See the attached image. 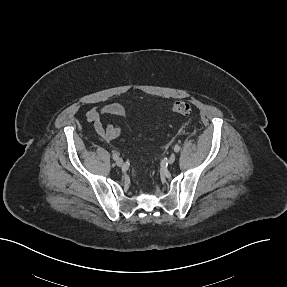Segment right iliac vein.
<instances>
[{
  "label": "right iliac vein",
  "instance_id": "63e3f726",
  "mask_svg": "<svg viewBox=\"0 0 287 287\" xmlns=\"http://www.w3.org/2000/svg\"><path fill=\"white\" fill-rule=\"evenodd\" d=\"M116 165L119 166V167L123 166V160L121 158H118L116 160Z\"/></svg>",
  "mask_w": 287,
  "mask_h": 287
}]
</instances>
